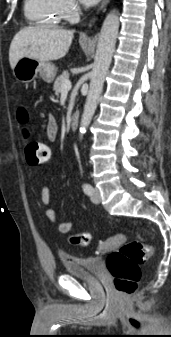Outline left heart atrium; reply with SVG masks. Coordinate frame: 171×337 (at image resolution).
<instances>
[{
	"label": "left heart atrium",
	"instance_id": "left-heart-atrium-1",
	"mask_svg": "<svg viewBox=\"0 0 171 337\" xmlns=\"http://www.w3.org/2000/svg\"><path fill=\"white\" fill-rule=\"evenodd\" d=\"M98 0H81V2L85 5H92L96 3Z\"/></svg>",
	"mask_w": 171,
	"mask_h": 337
}]
</instances>
